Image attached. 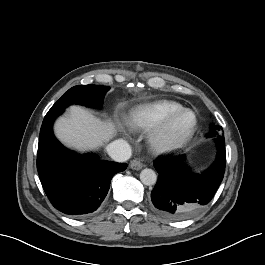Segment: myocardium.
Instances as JSON below:
<instances>
[{
    "instance_id": "f54148a6",
    "label": "myocardium",
    "mask_w": 265,
    "mask_h": 265,
    "mask_svg": "<svg viewBox=\"0 0 265 265\" xmlns=\"http://www.w3.org/2000/svg\"><path fill=\"white\" fill-rule=\"evenodd\" d=\"M185 113L193 115V124L185 133H177L174 129L175 120ZM198 128L196 113L189 108H181L166 116L150 134V144L153 149L160 153L179 149L186 145Z\"/></svg>"
}]
</instances>
